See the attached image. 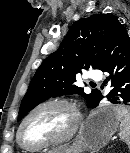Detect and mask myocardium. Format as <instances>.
Masks as SVG:
<instances>
[{
  "label": "myocardium",
  "mask_w": 130,
  "mask_h": 153,
  "mask_svg": "<svg viewBox=\"0 0 130 153\" xmlns=\"http://www.w3.org/2000/svg\"><path fill=\"white\" fill-rule=\"evenodd\" d=\"M53 105L64 106L71 111V113L73 115V123H72L70 129L62 137H59V138H56L53 140H49V141L38 143V144L26 143L22 139V131H23V128H24L26 122L38 110H40L44 107L53 106ZM81 121H82V115H81L80 109L74 101L69 100V99H65V98H55V99L46 100L44 102L39 103L34 108H32L25 115V117L22 119V121L19 125V128H18V132H17V140H18L21 147H23L24 149H28V150H40V149L48 148L51 146L63 144V143L70 141L76 135V133L81 125Z\"/></svg>",
  "instance_id": "f54148a6"
}]
</instances>
